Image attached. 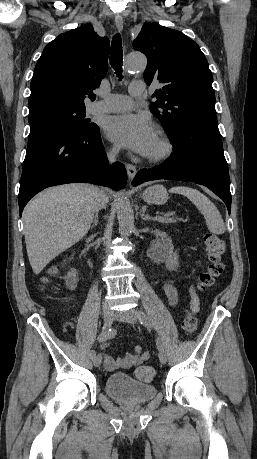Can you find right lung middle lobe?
Returning a JSON list of instances; mask_svg holds the SVG:
<instances>
[{"mask_svg": "<svg viewBox=\"0 0 257 459\" xmlns=\"http://www.w3.org/2000/svg\"><path fill=\"white\" fill-rule=\"evenodd\" d=\"M46 123L68 131L86 132L98 126L85 118V107L53 106L29 112V124Z\"/></svg>", "mask_w": 257, "mask_h": 459, "instance_id": "dd1d6c3e", "label": "right lung middle lobe"}]
</instances>
